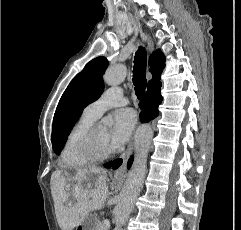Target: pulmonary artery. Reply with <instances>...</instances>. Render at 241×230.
I'll return each mask as SVG.
<instances>
[{
	"mask_svg": "<svg viewBox=\"0 0 241 230\" xmlns=\"http://www.w3.org/2000/svg\"><path fill=\"white\" fill-rule=\"evenodd\" d=\"M126 103L127 100L122 89L112 87L105 90L99 98L87 105L84 111L95 118H99L106 110Z\"/></svg>",
	"mask_w": 241,
	"mask_h": 230,
	"instance_id": "e3ab8cb5",
	"label": "pulmonary artery"
}]
</instances>
